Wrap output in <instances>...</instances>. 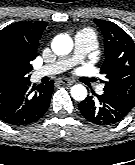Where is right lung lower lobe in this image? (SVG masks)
Listing matches in <instances>:
<instances>
[{
    "label": "right lung lower lobe",
    "instance_id": "1",
    "mask_svg": "<svg viewBox=\"0 0 135 165\" xmlns=\"http://www.w3.org/2000/svg\"><path fill=\"white\" fill-rule=\"evenodd\" d=\"M52 92L53 81L31 86L29 80H0V118L13 124L35 122L47 111Z\"/></svg>",
    "mask_w": 135,
    "mask_h": 165
}]
</instances>
